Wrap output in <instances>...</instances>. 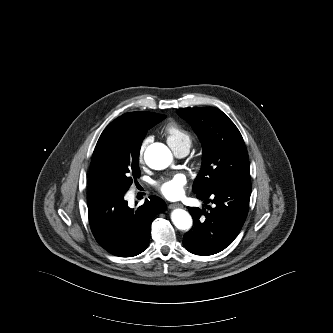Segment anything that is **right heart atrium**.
Instances as JSON below:
<instances>
[{
    "label": "right heart atrium",
    "mask_w": 333,
    "mask_h": 333,
    "mask_svg": "<svg viewBox=\"0 0 333 333\" xmlns=\"http://www.w3.org/2000/svg\"><path fill=\"white\" fill-rule=\"evenodd\" d=\"M150 141H151V137H146V138L142 141V143H141V145H140V147H139V158H140V160L143 159L144 151H145L147 145L150 143Z\"/></svg>",
    "instance_id": "obj_1"
}]
</instances>
